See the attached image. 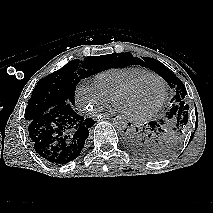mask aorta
<instances>
[{
  "instance_id": "aorta-1",
  "label": "aorta",
  "mask_w": 213,
  "mask_h": 213,
  "mask_svg": "<svg viewBox=\"0 0 213 213\" xmlns=\"http://www.w3.org/2000/svg\"><path fill=\"white\" fill-rule=\"evenodd\" d=\"M113 126L117 131L124 132L128 126V123L124 116L118 115L113 119Z\"/></svg>"
}]
</instances>
